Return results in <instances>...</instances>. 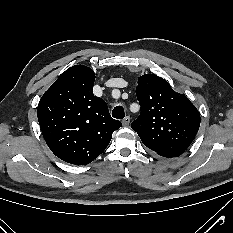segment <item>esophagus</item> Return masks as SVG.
Here are the masks:
<instances>
[{"label":"esophagus","instance_id":"obj_1","mask_svg":"<svg viewBox=\"0 0 233 233\" xmlns=\"http://www.w3.org/2000/svg\"><path fill=\"white\" fill-rule=\"evenodd\" d=\"M130 123V117L129 116H126L123 121H122V124L123 126L127 127Z\"/></svg>","mask_w":233,"mask_h":233}]
</instances>
